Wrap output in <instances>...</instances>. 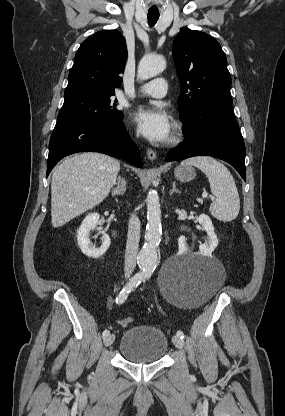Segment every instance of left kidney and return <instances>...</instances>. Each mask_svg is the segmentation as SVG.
Returning <instances> with one entry per match:
<instances>
[{"label": "left kidney", "mask_w": 285, "mask_h": 416, "mask_svg": "<svg viewBox=\"0 0 285 416\" xmlns=\"http://www.w3.org/2000/svg\"><path fill=\"white\" fill-rule=\"evenodd\" d=\"M199 224L203 226V230L207 232V240L205 244H200L198 254H202V256H210L212 252H214L215 248L218 246L217 236L214 232V226L206 214H201L198 218ZM179 250H183V252H188L189 248L187 246V240L185 236H180L178 240Z\"/></svg>", "instance_id": "1"}]
</instances>
